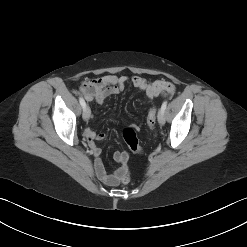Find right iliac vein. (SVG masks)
<instances>
[{
    "label": "right iliac vein",
    "instance_id": "obj_1",
    "mask_svg": "<svg viewBox=\"0 0 247 247\" xmlns=\"http://www.w3.org/2000/svg\"><path fill=\"white\" fill-rule=\"evenodd\" d=\"M91 116V110L88 106L85 107V109L83 110V119L85 121H88L90 119Z\"/></svg>",
    "mask_w": 247,
    "mask_h": 247
}]
</instances>
